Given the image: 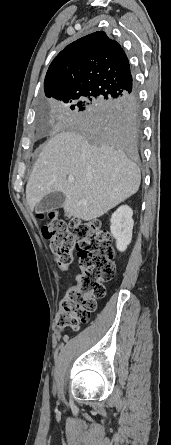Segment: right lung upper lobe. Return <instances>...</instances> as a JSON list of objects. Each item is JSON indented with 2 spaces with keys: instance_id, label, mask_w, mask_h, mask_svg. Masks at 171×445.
I'll return each instance as SVG.
<instances>
[{
  "instance_id": "cb5924a9",
  "label": "right lung upper lobe",
  "mask_w": 171,
  "mask_h": 445,
  "mask_svg": "<svg viewBox=\"0 0 171 445\" xmlns=\"http://www.w3.org/2000/svg\"><path fill=\"white\" fill-rule=\"evenodd\" d=\"M45 95L58 99L92 91L123 98L135 91L128 58L105 32H94L66 46L52 61L44 81Z\"/></svg>"
}]
</instances>
